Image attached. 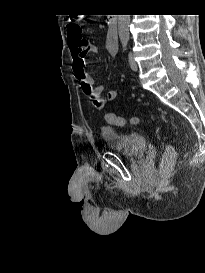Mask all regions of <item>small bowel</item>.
Here are the masks:
<instances>
[{
	"instance_id": "small-bowel-1",
	"label": "small bowel",
	"mask_w": 205,
	"mask_h": 273,
	"mask_svg": "<svg viewBox=\"0 0 205 273\" xmlns=\"http://www.w3.org/2000/svg\"><path fill=\"white\" fill-rule=\"evenodd\" d=\"M69 48L73 59V74L79 82L82 92L91 101L94 108H104L107 102L113 101L117 98L118 93L116 90H109L106 97L103 98V85L94 86V78L85 70L86 56L89 53H98L99 48L93 43H89L86 47H82L73 42H70ZM105 48L111 56H114L118 51V40L115 38V34L111 31L107 33Z\"/></svg>"
}]
</instances>
